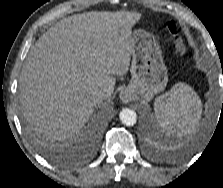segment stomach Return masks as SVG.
<instances>
[{
	"instance_id": "stomach-1",
	"label": "stomach",
	"mask_w": 223,
	"mask_h": 188,
	"mask_svg": "<svg viewBox=\"0 0 223 188\" xmlns=\"http://www.w3.org/2000/svg\"><path fill=\"white\" fill-rule=\"evenodd\" d=\"M132 45L131 82L126 88L136 99L150 100L168 82L167 68L155 38L143 29L130 36Z\"/></svg>"
}]
</instances>
